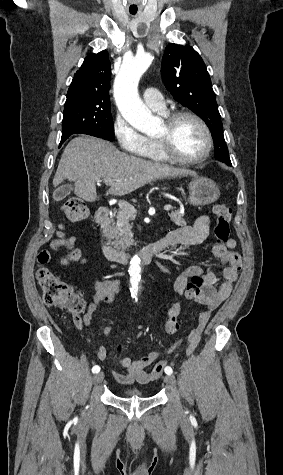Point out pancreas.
Returning <instances> with one entry per match:
<instances>
[{
  "mask_svg": "<svg viewBox=\"0 0 283 475\" xmlns=\"http://www.w3.org/2000/svg\"><path fill=\"white\" fill-rule=\"evenodd\" d=\"M134 216L135 214H132L130 210H122L117 216V222H112V228H109V232L105 234L107 243H110L117 251H125L134 241L131 224ZM168 216L176 226H186L184 214H180V210H175Z\"/></svg>",
  "mask_w": 283,
  "mask_h": 475,
  "instance_id": "cf45deb5",
  "label": "pancreas"
}]
</instances>
